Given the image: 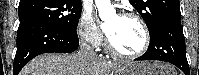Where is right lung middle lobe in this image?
I'll use <instances>...</instances> for the list:
<instances>
[{
    "mask_svg": "<svg viewBox=\"0 0 199 75\" xmlns=\"http://www.w3.org/2000/svg\"><path fill=\"white\" fill-rule=\"evenodd\" d=\"M82 4L73 0H27L19 4L20 24L37 21L67 33H75Z\"/></svg>",
    "mask_w": 199,
    "mask_h": 75,
    "instance_id": "1",
    "label": "right lung middle lobe"
}]
</instances>
